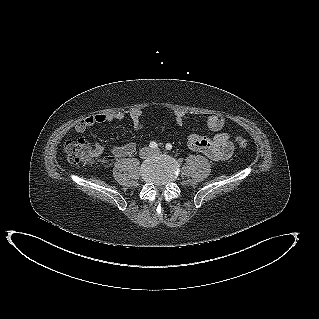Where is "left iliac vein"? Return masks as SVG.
I'll return each instance as SVG.
<instances>
[{"instance_id": "1", "label": "left iliac vein", "mask_w": 319, "mask_h": 319, "mask_svg": "<svg viewBox=\"0 0 319 319\" xmlns=\"http://www.w3.org/2000/svg\"><path fill=\"white\" fill-rule=\"evenodd\" d=\"M151 152H152L153 154H158V153L161 152V150H160L159 148H157V149L152 150Z\"/></svg>"}]
</instances>
